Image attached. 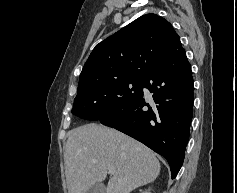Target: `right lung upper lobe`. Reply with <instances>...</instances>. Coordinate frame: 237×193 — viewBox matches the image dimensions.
Listing matches in <instances>:
<instances>
[{"mask_svg": "<svg viewBox=\"0 0 237 193\" xmlns=\"http://www.w3.org/2000/svg\"><path fill=\"white\" fill-rule=\"evenodd\" d=\"M181 49L180 38L167 20L143 15L96 45L80 74L78 90L107 80L144 78Z\"/></svg>", "mask_w": 237, "mask_h": 193, "instance_id": "right-lung-upper-lobe-1", "label": "right lung upper lobe"}]
</instances>
